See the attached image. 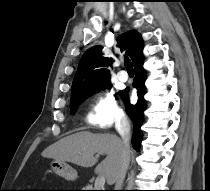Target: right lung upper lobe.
<instances>
[{"mask_svg": "<svg viewBox=\"0 0 210 191\" xmlns=\"http://www.w3.org/2000/svg\"><path fill=\"white\" fill-rule=\"evenodd\" d=\"M117 42L120 51L130 56L133 59V63L143 50L142 38L135 31L121 34L118 36ZM111 63L112 59L103 57L101 46H94L88 49L79 62L72 83L71 99L109 83V67Z\"/></svg>", "mask_w": 210, "mask_h": 191, "instance_id": "1", "label": "right lung upper lobe"}]
</instances>
